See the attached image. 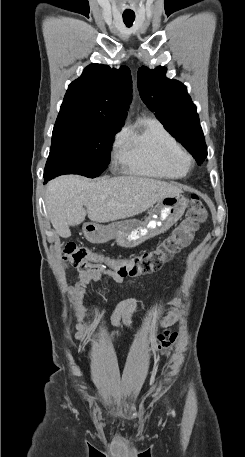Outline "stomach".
<instances>
[{"label": "stomach", "instance_id": "obj_1", "mask_svg": "<svg viewBox=\"0 0 245 457\" xmlns=\"http://www.w3.org/2000/svg\"><path fill=\"white\" fill-rule=\"evenodd\" d=\"M187 206V198L183 194H168L157 200L154 208L149 212L145 220L129 218V220H118L110 224H97V222H85L83 233L90 243H107L116 239L119 247H138L147 239L161 235L175 224Z\"/></svg>", "mask_w": 245, "mask_h": 457}]
</instances>
